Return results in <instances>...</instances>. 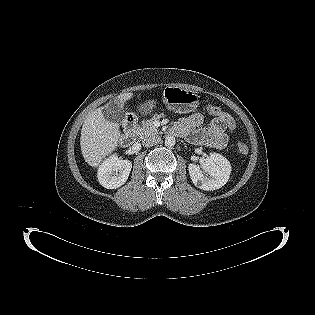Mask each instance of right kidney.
Instances as JSON below:
<instances>
[{
	"instance_id": "right-kidney-1",
	"label": "right kidney",
	"mask_w": 315,
	"mask_h": 315,
	"mask_svg": "<svg viewBox=\"0 0 315 315\" xmlns=\"http://www.w3.org/2000/svg\"><path fill=\"white\" fill-rule=\"evenodd\" d=\"M131 168L132 163L129 160H120L112 155L98 168V181L107 189H116L127 181Z\"/></svg>"
}]
</instances>
